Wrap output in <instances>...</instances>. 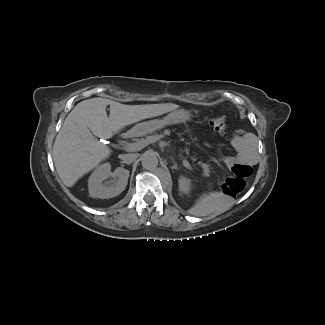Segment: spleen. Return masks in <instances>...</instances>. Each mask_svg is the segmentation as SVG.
Masks as SVG:
<instances>
[{
  "label": "spleen",
  "instance_id": "1",
  "mask_svg": "<svg viewBox=\"0 0 325 325\" xmlns=\"http://www.w3.org/2000/svg\"><path fill=\"white\" fill-rule=\"evenodd\" d=\"M229 206V197L225 196L222 192H210L203 194L194 206L189 209V213L194 216H207L212 213H222Z\"/></svg>",
  "mask_w": 325,
  "mask_h": 325
}]
</instances>
